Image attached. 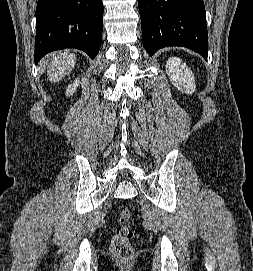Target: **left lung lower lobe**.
Listing matches in <instances>:
<instances>
[{
  "label": "left lung lower lobe",
  "mask_w": 253,
  "mask_h": 271,
  "mask_svg": "<svg viewBox=\"0 0 253 271\" xmlns=\"http://www.w3.org/2000/svg\"><path fill=\"white\" fill-rule=\"evenodd\" d=\"M138 7L142 42L150 55L167 46H183L207 60L203 0H138Z\"/></svg>",
  "instance_id": "obj_1"
}]
</instances>
